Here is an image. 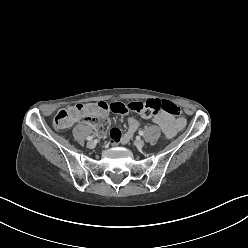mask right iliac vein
I'll return each mask as SVG.
<instances>
[{
	"mask_svg": "<svg viewBox=\"0 0 248 248\" xmlns=\"http://www.w3.org/2000/svg\"><path fill=\"white\" fill-rule=\"evenodd\" d=\"M95 146H96V142L95 141H89L87 143V147L90 148V149L95 148Z\"/></svg>",
	"mask_w": 248,
	"mask_h": 248,
	"instance_id": "obj_1",
	"label": "right iliac vein"
}]
</instances>
